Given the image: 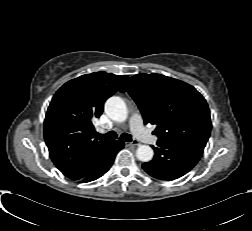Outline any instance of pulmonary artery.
Listing matches in <instances>:
<instances>
[{
  "label": "pulmonary artery",
  "mask_w": 252,
  "mask_h": 231,
  "mask_svg": "<svg viewBox=\"0 0 252 231\" xmlns=\"http://www.w3.org/2000/svg\"><path fill=\"white\" fill-rule=\"evenodd\" d=\"M130 130L142 142L153 144L157 142L158 138L151 134L144 126L142 118L138 113L132 114L128 120Z\"/></svg>",
  "instance_id": "1"
}]
</instances>
